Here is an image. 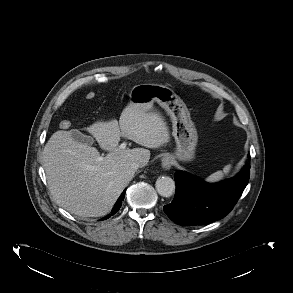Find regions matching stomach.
I'll return each mask as SVG.
<instances>
[{"label": "stomach", "mask_w": 293, "mask_h": 293, "mask_svg": "<svg viewBox=\"0 0 293 293\" xmlns=\"http://www.w3.org/2000/svg\"><path fill=\"white\" fill-rule=\"evenodd\" d=\"M155 102L167 112L172 121V135L177 146L173 158L191 161L195 156L198 135L185 103L172 89L159 84H138L129 93V106L145 112H150Z\"/></svg>", "instance_id": "0dacf381"}]
</instances>
